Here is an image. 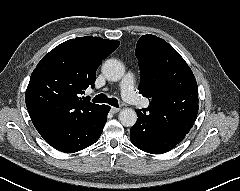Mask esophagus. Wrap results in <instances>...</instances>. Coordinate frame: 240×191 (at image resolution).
<instances>
[{
  "label": "esophagus",
  "instance_id": "esophagus-1",
  "mask_svg": "<svg viewBox=\"0 0 240 191\" xmlns=\"http://www.w3.org/2000/svg\"><path fill=\"white\" fill-rule=\"evenodd\" d=\"M120 110H121L120 108L111 107V112H112V113H117V112H119Z\"/></svg>",
  "mask_w": 240,
  "mask_h": 191
}]
</instances>
